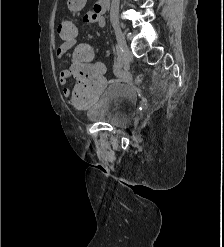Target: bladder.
Wrapping results in <instances>:
<instances>
[{
  "label": "bladder",
  "instance_id": "1",
  "mask_svg": "<svg viewBox=\"0 0 224 247\" xmlns=\"http://www.w3.org/2000/svg\"><path fill=\"white\" fill-rule=\"evenodd\" d=\"M137 93L128 83L108 85L85 110L87 119L114 127L130 126L136 116Z\"/></svg>",
  "mask_w": 224,
  "mask_h": 247
}]
</instances>
